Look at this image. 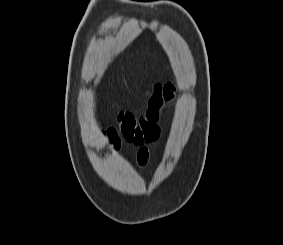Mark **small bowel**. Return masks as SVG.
<instances>
[{
    "label": "small bowel",
    "instance_id": "c3829d8e",
    "mask_svg": "<svg viewBox=\"0 0 283 245\" xmlns=\"http://www.w3.org/2000/svg\"><path fill=\"white\" fill-rule=\"evenodd\" d=\"M175 87L172 83L162 85L163 102H170L174 97ZM108 140L113 150H116L120 144L119 133L114 128H108L101 133ZM150 159V150L146 146H141L137 151V165L139 168H146Z\"/></svg>",
    "mask_w": 283,
    "mask_h": 245
}]
</instances>
